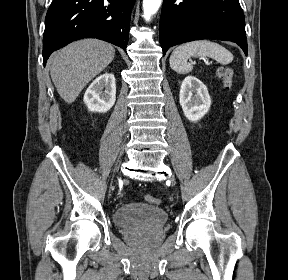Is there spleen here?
Here are the masks:
<instances>
[{
  "mask_svg": "<svg viewBox=\"0 0 288 280\" xmlns=\"http://www.w3.org/2000/svg\"><path fill=\"white\" fill-rule=\"evenodd\" d=\"M191 57H210L223 65L233 61L232 53L222 45L209 40H200L176 47L169 59L170 67L180 74L189 73L193 69V65L188 62Z\"/></svg>",
  "mask_w": 288,
  "mask_h": 280,
  "instance_id": "obj_1",
  "label": "spleen"
}]
</instances>
